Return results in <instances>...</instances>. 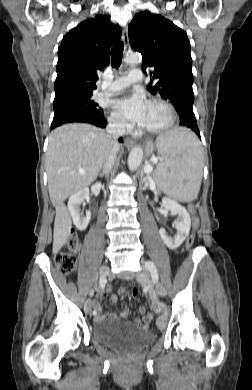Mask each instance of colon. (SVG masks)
<instances>
[{"label": "colon", "instance_id": "colon-1", "mask_svg": "<svg viewBox=\"0 0 252 390\" xmlns=\"http://www.w3.org/2000/svg\"><path fill=\"white\" fill-rule=\"evenodd\" d=\"M188 210L193 215V228L196 230L199 226V220L196 217V207L194 204L188 205ZM194 242V234H192L188 241L187 246L190 247ZM80 248V240L77 235L72 234L67 241L64 244V250L59 252L55 257V264L57 268L64 274H68L72 272L75 269L77 258L76 253L79 251ZM121 290H124L126 293L125 288H121ZM131 294L133 296H136L138 294V289L133 288L131 291ZM152 320V315L150 313H147L144 317V321L146 324H149Z\"/></svg>", "mask_w": 252, "mask_h": 390}]
</instances>
